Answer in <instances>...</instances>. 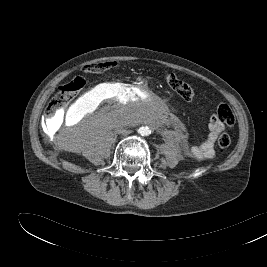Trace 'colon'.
Returning a JSON list of instances; mask_svg holds the SVG:
<instances>
[{"label": "colon", "mask_w": 267, "mask_h": 267, "mask_svg": "<svg viewBox=\"0 0 267 267\" xmlns=\"http://www.w3.org/2000/svg\"><path fill=\"white\" fill-rule=\"evenodd\" d=\"M112 63L103 62L99 64H93L87 66V71H100L104 70L107 67L111 66ZM166 84L176 92L182 99L186 101H191L195 96V91L193 87L187 82L181 80L174 73L165 74ZM85 81L82 77H74L64 85H62L58 92L55 94L53 99L50 101L47 110L46 116L47 119H53L57 114L64 109L74 98L75 96L83 89ZM219 118L228 126L234 124V114L231 108L227 104H220L216 110ZM231 144V138L227 133H223L218 138V146L220 149H227Z\"/></svg>", "instance_id": "5ec220e1"}]
</instances>
